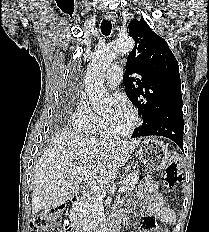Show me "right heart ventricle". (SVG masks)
<instances>
[{
  "mask_svg": "<svg viewBox=\"0 0 209 232\" xmlns=\"http://www.w3.org/2000/svg\"><path fill=\"white\" fill-rule=\"evenodd\" d=\"M88 133L95 136L105 135L103 131V122L99 119L98 122L91 127Z\"/></svg>",
  "mask_w": 209,
  "mask_h": 232,
  "instance_id": "obj_1",
  "label": "right heart ventricle"
}]
</instances>
